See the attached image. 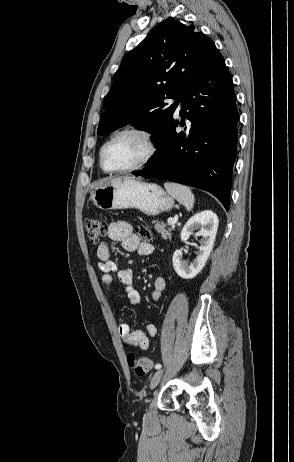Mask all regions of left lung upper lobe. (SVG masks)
Instances as JSON below:
<instances>
[{"instance_id": "1", "label": "left lung upper lobe", "mask_w": 294, "mask_h": 462, "mask_svg": "<svg viewBox=\"0 0 294 462\" xmlns=\"http://www.w3.org/2000/svg\"><path fill=\"white\" fill-rule=\"evenodd\" d=\"M222 58L214 43L195 27L174 19L161 22L116 71L104 100L98 133L132 123L153 133L155 145L173 121L177 102L185 89L211 64Z\"/></svg>"}]
</instances>
